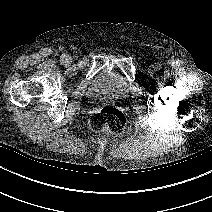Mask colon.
<instances>
[{"label": "colon", "mask_w": 212, "mask_h": 212, "mask_svg": "<svg viewBox=\"0 0 212 212\" xmlns=\"http://www.w3.org/2000/svg\"><path fill=\"white\" fill-rule=\"evenodd\" d=\"M126 117L119 109L106 106L95 111L89 118L93 131L120 133L126 126Z\"/></svg>", "instance_id": "5ec220e1"}]
</instances>
